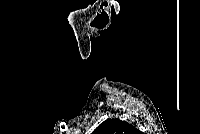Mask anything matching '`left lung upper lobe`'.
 Returning a JSON list of instances; mask_svg holds the SVG:
<instances>
[{"label":"left lung upper lobe","mask_w":200,"mask_h":134,"mask_svg":"<svg viewBox=\"0 0 200 134\" xmlns=\"http://www.w3.org/2000/svg\"><path fill=\"white\" fill-rule=\"evenodd\" d=\"M131 124L119 119H107L102 122L92 134H140Z\"/></svg>","instance_id":"1"}]
</instances>
